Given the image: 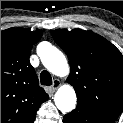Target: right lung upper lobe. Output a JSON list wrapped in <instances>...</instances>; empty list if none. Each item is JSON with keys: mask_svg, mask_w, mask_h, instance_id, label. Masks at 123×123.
<instances>
[{"mask_svg": "<svg viewBox=\"0 0 123 123\" xmlns=\"http://www.w3.org/2000/svg\"><path fill=\"white\" fill-rule=\"evenodd\" d=\"M42 34L25 28L1 31V123H33L48 99L29 62L31 48Z\"/></svg>", "mask_w": 123, "mask_h": 123, "instance_id": "obj_1", "label": "right lung upper lobe"}]
</instances>
